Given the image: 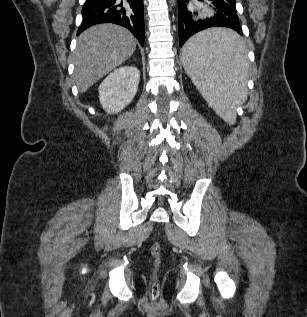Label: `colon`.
<instances>
[{"mask_svg":"<svg viewBox=\"0 0 307 317\" xmlns=\"http://www.w3.org/2000/svg\"><path fill=\"white\" fill-rule=\"evenodd\" d=\"M160 251H161V245L159 243H155L152 245L151 247V252L153 254V256L158 260L159 255H160ZM150 291H151V295H158L159 292V281L157 279V277L154 275V277L151 280L150 283Z\"/></svg>","mask_w":307,"mask_h":317,"instance_id":"5ec220e1","label":"colon"}]
</instances>
